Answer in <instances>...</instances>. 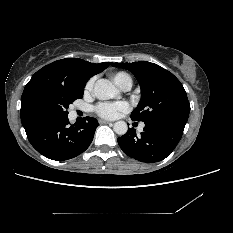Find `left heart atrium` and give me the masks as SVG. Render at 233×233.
Masks as SVG:
<instances>
[{
  "mask_svg": "<svg viewBox=\"0 0 233 233\" xmlns=\"http://www.w3.org/2000/svg\"><path fill=\"white\" fill-rule=\"evenodd\" d=\"M130 109L125 101L101 102L94 108L96 114L104 119H115Z\"/></svg>",
  "mask_w": 233,
  "mask_h": 233,
  "instance_id": "obj_1",
  "label": "left heart atrium"
}]
</instances>
